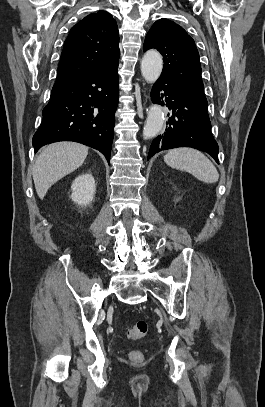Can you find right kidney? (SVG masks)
<instances>
[{"instance_id":"right-kidney-1","label":"right kidney","mask_w":265,"mask_h":407,"mask_svg":"<svg viewBox=\"0 0 265 407\" xmlns=\"http://www.w3.org/2000/svg\"><path fill=\"white\" fill-rule=\"evenodd\" d=\"M71 199L78 205L91 203L96 191L95 180L91 174H82L71 185Z\"/></svg>"}]
</instances>
